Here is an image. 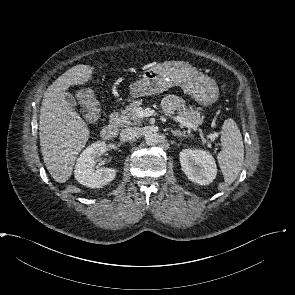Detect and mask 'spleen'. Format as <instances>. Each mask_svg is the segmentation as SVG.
<instances>
[{
    "mask_svg": "<svg viewBox=\"0 0 295 295\" xmlns=\"http://www.w3.org/2000/svg\"><path fill=\"white\" fill-rule=\"evenodd\" d=\"M221 151L218 162L224 176V185H231L240 173L244 161V145L236 122L228 118L221 131Z\"/></svg>",
    "mask_w": 295,
    "mask_h": 295,
    "instance_id": "obj_1",
    "label": "spleen"
}]
</instances>
